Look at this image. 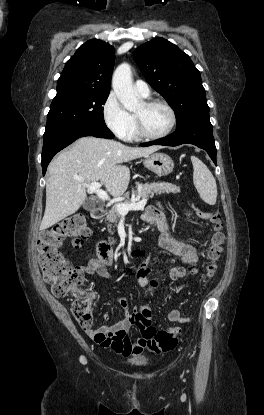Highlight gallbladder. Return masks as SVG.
<instances>
[{"label": "gallbladder", "mask_w": 264, "mask_h": 415, "mask_svg": "<svg viewBox=\"0 0 264 415\" xmlns=\"http://www.w3.org/2000/svg\"><path fill=\"white\" fill-rule=\"evenodd\" d=\"M95 207V203L91 198H88L83 203V208L86 210H92Z\"/></svg>", "instance_id": "bac80fb5"}]
</instances>
